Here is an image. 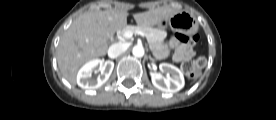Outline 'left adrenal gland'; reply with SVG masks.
I'll use <instances>...</instances> for the list:
<instances>
[{"instance_id":"obj_1","label":"left adrenal gland","mask_w":276,"mask_h":120,"mask_svg":"<svg viewBox=\"0 0 276 120\" xmlns=\"http://www.w3.org/2000/svg\"><path fill=\"white\" fill-rule=\"evenodd\" d=\"M149 59L151 60V61H153L154 59L151 57V55L149 56Z\"/></svg>"}]
</instances>
